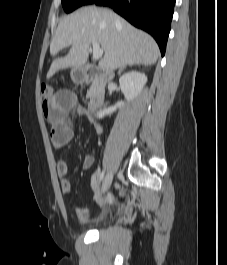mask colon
<instances>
[{
	"instance_id": "obj_1",
	"label": "colon",
	"mask_w": 227,
	"mask_h": 265,
	"mask_svg": "<svg viewBox=\"0 0 227 265\" xmlns=\"http://www.w3.org/2000/svg\"><path fill=\"white\" fill-rule=\"evenodd\" d=\"M42 102H51L55 98L53 89L49 85H42L40 89Z\"/></svg>"
}]
</instances>
